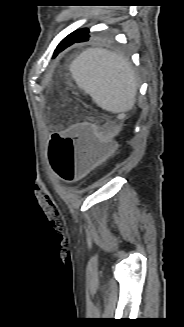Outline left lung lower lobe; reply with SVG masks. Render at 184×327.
<instances>
[{
	"mask_svg": "<svg viewBox=\"0 0 184 327\" xmlns=\"http://www.w3.org/2000/svg\"><path fill=\"white\" fill-rule=\"evenodd\" d=\"M78 30L72 32L67 37H65L57 46V48L54 51L53 57H56V55L64 50L65 48L69 47L70 45L74 43L84 42L89 40V34L81 36L78 34Z\"/></svg>",
	"mask_w": 184,
	"mask_h": 327,
	"instance_id": "1",
	"label": "left lung lower lobe"
}]
</instances>
